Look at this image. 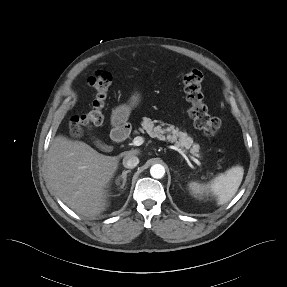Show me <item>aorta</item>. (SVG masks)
Returning <instances> with one entry per match:
<instances>
[{"label":"aorta","mask_w":287,"mask_h":287,"mask_svg":"<svg viewBox=\"0 0 287 287\" xmlns=\"http://www.w3.org/2000/svg\"><path fill=\"white\" fill-rule=\"evenodd\" d=\"M150 174L153 178L160 179L165 174V169L161 164H155L150 168Z\"/></svg>","instance_id":"obj_1"}]
</instances>
